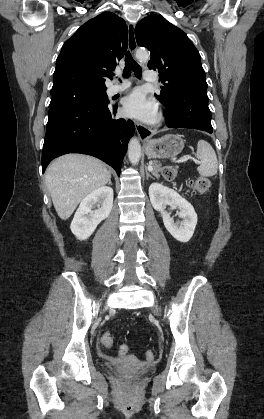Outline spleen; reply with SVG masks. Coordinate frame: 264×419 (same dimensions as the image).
<instances>
[{
  "instance_id": "obj_1",
  "label": "spleen",
  "mask_w": 264,
  "mask_h": 419,
  "mask_svg": "<svg viewBox=\"0 0 264 419\" xmlns=\"http://www.w3.org/2000/svg\"><path fill=\"white\" fill-rule=\"evenodd\" d=\"M197 158L200 159V165L197 171L200 175L211 177L217 173L218 161L212 146L205 140H199L197 143Z\"/></svg>"
}]
</instances>
